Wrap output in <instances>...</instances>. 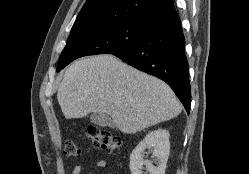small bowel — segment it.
<instances>
[{
    "label": "small bowel",
    "mask_w": 249,
    "mask_h": 174,
    "mask_svg": "<svg viewBox=\"0 0 249 174\" xmlns=\"http://www.w3.org/2000/svg\"><path fill=\"white\" fill-rule=\"evenodd\" d=\"M96 167L98 169H104L107 167V161L106 160H98L96 162ZM83 170V165L82 164H77L74 166L72 169V174H81ZM108 174H113V173H108Z\"/></svg>",
    "instance_id": "c3829d8e"
}]
</instances>
